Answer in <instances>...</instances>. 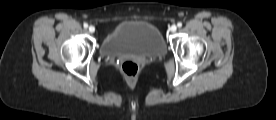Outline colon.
<instances>
[{
  "instance_id": "5ec220e1",
  "label": "colon",
  "mask_w": 276,
  "mask_h": 120,
  "mask_svg": "<svg viewBox=\"0 0 276 120\" xmlns=\"http://www.w3.org/2000/svg\"><path fill=\"white\" fill-rule=\"evenodd\" d=\"M121 69H122V73H123L124 77L128 81L133 82L138 75L139 65L133 59H126L125 61H123L122 65H121Z\"/></svg>"
}]
</instances>
